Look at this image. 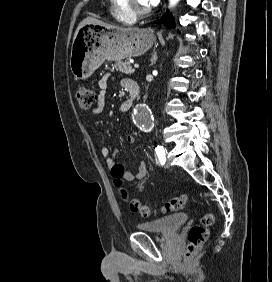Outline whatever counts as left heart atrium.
<instances>
[{
	"instance_id": "1",
	"label": "left heart atrium",
	"mask_w": 272,
	"mask_h": 282,
	"mask_svg": "<svg viewBox=\"0 0 272 282\" xmlns=\"http://www.w3.org/2000/svg\"><path fill=\"white\" fill-rule=\"evenodd\" d=\"M148 7H152L158 4L159 0H145Z\"/></svg>"
}]
</instances>
